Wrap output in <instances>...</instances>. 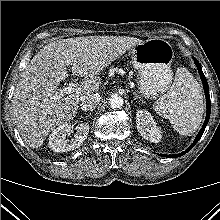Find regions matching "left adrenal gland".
<instances>
[{
  "mask_svg": "<svg viewBox=\"0 0 220 220\" xmlns=\"http://www.w3.org/2000/svg\"><path fill=\"white\" fill-rule=\"evenodd\" d=\"M133 94H134V99L140 98V96H138L135 92H133Z\"/></svg>",
  "mask_w": 220,
  "mask_h": 220,
  "instance_id": "1",
  "label": "left adrenal gland"
}]
</instances>
